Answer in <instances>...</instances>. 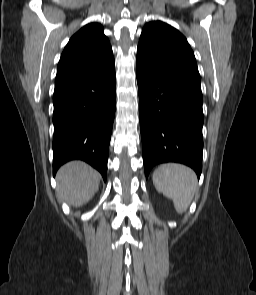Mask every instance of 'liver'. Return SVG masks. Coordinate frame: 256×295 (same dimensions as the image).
I'll list each match as a JSON object with an SVG mask.
<instances>
[{
  "mask_svg": "<svg viewBox=\"0 0 256 295\" xmlns=\"http://www.w3.org/2000/svg\"><path fill=\"white\" fill-rule=\"evenodd\" d=\"M56 179L58 199L80 207L97 192L101 175L85 162L71 161L58 170Z\"/></svg>",
  "mask_w": 256,
  "mask_h": 295,
  "instance_id": "obj_1",
  "label": "liver"
}]
</instances>
